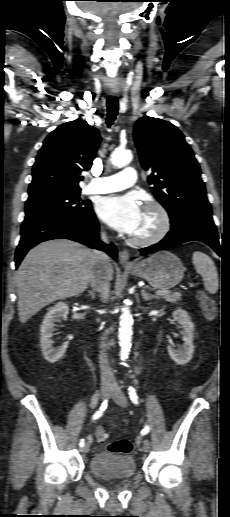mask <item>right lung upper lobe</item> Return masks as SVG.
<instances>
[{"instance_id":"1","label":"right lung upper lobe","mask_w":230,"mask_h":517,"mask_svg":"<svg viewBox=\"0 0 230 517\" xmlns=\"http://www.w3.org/2000/svg\"><path fill=\"white\" fill-rule=\"evenodd\" d=\"M101 137L84 120L60 125L44 140L33 165L28 200L81 190L82 171L91 168Z\"/></svg>"}]
</instances>
